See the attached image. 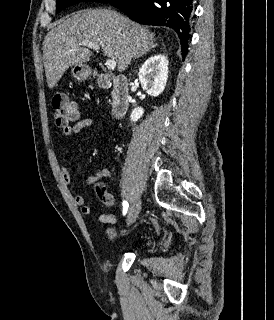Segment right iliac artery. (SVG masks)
Returning a JSON list of instances; mask_svg holds the SVG:
<instances>
[{
  "label": "right iliac artery",
  "mask_w": 274,
  "mask_h": 320,
  "mask_svg": "<svg viewBox=\"0 0 274 320\" xmlns=\"http://www.w3.org/2000/svg\"><path fill=\"white\" fill-rule=\"evenodd\" d=\"M129 204L127 201H123V215H126L128 211Z\"/></svg>",
  "instance_id": "right-iliac-artery-1"
}]
</instances>
